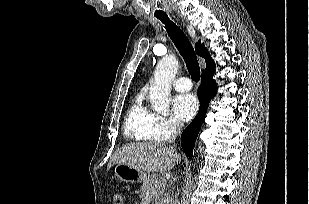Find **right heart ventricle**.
Listing matches in <instances>:
<instances>
[{
    "mask_svg": "<svg viewBox=\"0 0 309 204\" xmlns=\"http://www.w3.org/2000/svg\"><path fill=\"white\" fill-rule=\"evenodd\" d=\"M154 113L144 107L142 99L138 97L127 113L124 124V135L135 141L153 139L150 133Z\"/></svg>",
    "mask_w": 309,
    "mask_h": 204,
    "instance_id": "obj_1",
    "label": "right heart ventricle"
}]
</instances>
